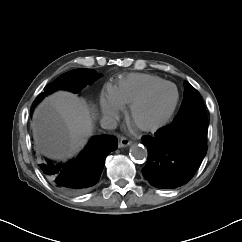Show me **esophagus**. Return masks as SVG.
<instances>
[{"label": "esophagus", "mask_w": 242, "mask_h": 242, "mask_svg": "<svg viewBox=\"0 0 242 242\" xmlns=\"http://www.w3.org/2000/svg\"><path fill=\"white\" fill-rule=\"evenodd\" d=\"M132 143V141L126 137H122L120 140H119V146L120 147H127L129 146L130 144Z\"/></svg>", "instance_id": "obj_1"}]
</instances>
